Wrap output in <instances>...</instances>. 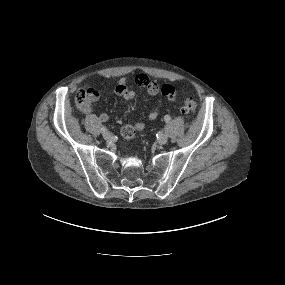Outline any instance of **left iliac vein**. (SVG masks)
Segmentation results:
<instances>
[{
	"mask_svg": "<svg viewBox=\"0 0 285 285\" xmlns=\"http://www.w3.org/2000/svg\"><path fill=\"white\" fill-rule=\"evenodd\" d=\"M167 141H168V136L165 134H161L158 138V143L161 145L166 144Z\"/></svg>",
	"mask_w": 285,
	"mask_h": 285,
	"instance_id": "left-iliac-vein-1",
	"label": "left iliac vein"
}]
</instances>
